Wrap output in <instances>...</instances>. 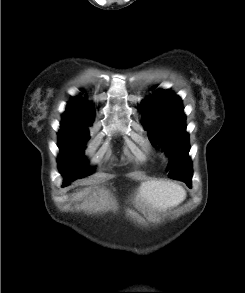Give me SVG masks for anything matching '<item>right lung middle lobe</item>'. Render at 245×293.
I'll use <instances>...</instances> for the list:
<instances>
[{
    "label": "right lung middle lobe",
    "mask_w": 245,
    "mask_h": 293,
    "mask_svg": "<svg viewBox=\"0 0 245 293\" xmlns=\"http://www.w3.org/2000/svg\"><path fill=\"white\" fill-rule=\"evenodd\" d=\"M88 128L63 127L59 130V149L61 156L58 159L59 169L66 181L88 176L93 169L88 168L83 159L85 143L89 139ZM65 182L63 186H67Z\"/></svg>",
    "instance_id": "1"
}]
</instances>
